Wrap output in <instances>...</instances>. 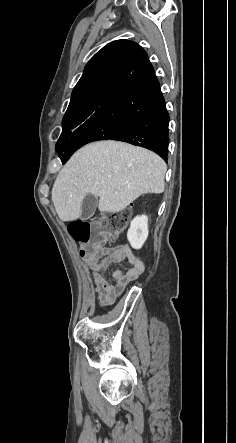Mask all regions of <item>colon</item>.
Segmentation results:
<instances>
[{
  "label": "colon",
  "instance_id": "5ec220e1",
  "mask_svg": "<svg viewBox=\"0 0 236 443\" xmlns=\"http://www.w3.org/2000/svg\"><path fill=\"white\" fill-rule=\"evenodd\" d=\"M127 223V214L116 213L93 223L84 219L73 220L68 225V231L73 240L82 245V258L90 262L100 256L103 243L123 233Z\"/></svg>",
  "mask_w": 236,
  "mask_h": 443
}]
</instances>
